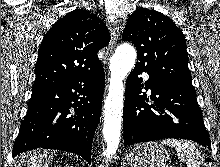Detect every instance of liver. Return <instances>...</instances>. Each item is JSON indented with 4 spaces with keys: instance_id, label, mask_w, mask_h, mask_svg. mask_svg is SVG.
<instances>
[{
    "instance_id": "obj_1",
    "label": "liver",
    "mask_w": 220,
    "mask_h": 167,
    "mask_svg": "<svg viewBox=\"0 0 220 167\" xmlns=\"http://www.w3.org/2000/svg\"><path fill=\"white\" fill-rule=\"evenodd\" d=\"M52 158L53 152L49 150H34L17 156L14 167H48Z\"/></svg>"
}]
</instances>
